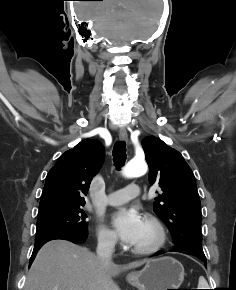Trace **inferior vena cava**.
I'll return each instance as SVG.
<instances>
[{
	"label": "inferior vena cava",
	"mask_w": 236,
	"mask_h": 290,
	"mask_svg": "<svg viewBox=\"0 0 236 290\" xmlns=\"http://www.w3.org/2000/svg\"><path fill=\"white\" fill-rule=\"evenodd\" d=\"M115 248V238L104 237L99 239L96 253L103 263H109Z\"/></svg>",
	"instance_id": "602c4592"
}]
</instances>
